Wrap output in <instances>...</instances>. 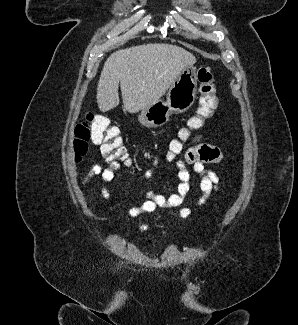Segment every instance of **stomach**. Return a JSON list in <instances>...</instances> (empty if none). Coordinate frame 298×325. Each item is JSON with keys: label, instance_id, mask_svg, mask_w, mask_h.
<instances>
[{"label": "stomach", "instance_id": "1", "mask_svg": "<svg viewBox=\"0 0 298 325\" xmlns=\"http://www.w3.org/2000/svg\"><path fill=\"white\" fill-rule=\"evenodd\" d=\"M196 66L188 64L172 82L166 100H158L138 114V120L144 126H162L168 122L171 114H180L191 108L197 96Z\"/></svg>", "mask_w": 298, "mask_h": 325}]
</instances>
